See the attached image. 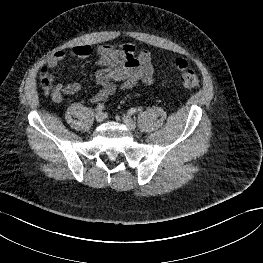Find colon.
<instances>
[{"mask_svg":"<svg viewBox=\"0 0 263 263\" xmlns=\"http://www.w3.org/2000/svg\"><path fill=\"white\" fill-rule=\"evenodd\" d=\"M175 66L179 71V73L181 74L183 84L187 88H196L199 85L200 81L197 74L192 69H190L188 62L185 59L183 58L176 59ZM41 80L43 87L46 90H49L51 87V81L48 76V73L46 72V69L42 70Z\"/></svg>","mask_w":263,"mask_h":263,"instance_id":"1","label":"colon"}]
</instances>
